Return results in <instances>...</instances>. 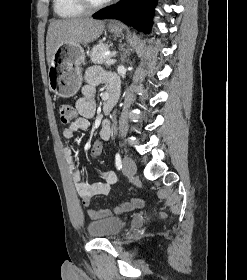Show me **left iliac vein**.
<instances>
[{
  "label": "left iliac vein",
  "instance_id": "1",
  "mask_svg": "<svg viewBox=\"0 0 247 280\" xmlns=\"http://www.w3.org/2000/svg\"><path fill=\"white\" fill-rule=\"evenodd\" d=\"M122 171L126 176L135 175L137 171L135 161L130 157H125L122 162Z\"/></svg>",
  "mask_w": 247,
  "mask_h": 280
}]
</instances>
